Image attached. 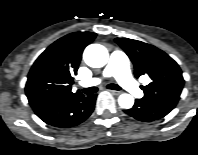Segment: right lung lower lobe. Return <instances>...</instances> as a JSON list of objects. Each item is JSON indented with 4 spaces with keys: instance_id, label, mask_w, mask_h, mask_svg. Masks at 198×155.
I'll return each instance as SVG.
<instances>
[{
    "instance_id": "obj_1",
    "label": "right lung lower lobe",
    "mask_w": 198,
    "mask_h": 155,
    "mask_svg": "<svg viewBox=\"0 0 198 155\" xmlns=\"http://www.w3.org/2000/svg\"><path fill=\"white\" fill-rule=\"evenodd\" d=\"M96 97V94L87 97L79 94L34 111L45 123L55 127L68 128L80 124L91 115Z\"/></svg>"
}]
</instances>
